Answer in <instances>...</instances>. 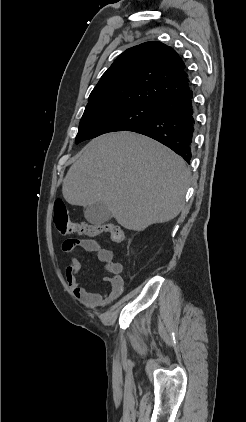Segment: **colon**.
<instances>
[{"mask_svg":"<svg viewBox=\"0 0 246 422\" xmlns=\"http://www.w3.org/2000/svg\"><path fill=\"white\" fill-rule=\"evenodd\" d=\"M54 224L62 234L79 233L90 237L108 234L114 243H121L125 239L124 230L116 224H88L72 221L61 200L54 204Z\"/></svg>","mask_w":246,"mask_h":422,"instance_id":"obj_1","label":"colon"}]
</instances>
